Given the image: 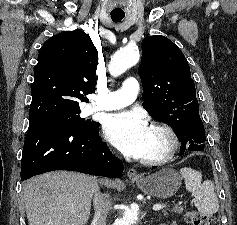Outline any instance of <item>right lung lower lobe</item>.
Here are the masks:
<instances>
[{"label":"right lung lower lobe","instance_id":"right-lung-lower-lobe-1","mask_svg":"<svg viewBox=\"0 0 237 225\" xmlns=\"http://www.w3.org/2000/svg\"><path fill=\"white\" fill-rule=\"evenodd\" d=\"M54 170L117 178L123 172V164L99 137V124L83 131L52 123H30L21 159V179Z\"/></svg>","mask_w":237,"mask_h":225}]
</instances>
